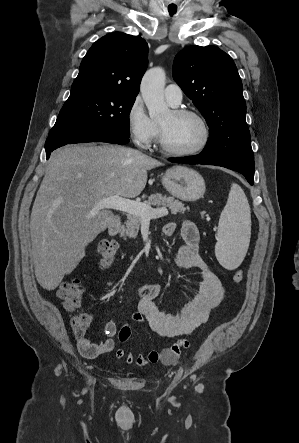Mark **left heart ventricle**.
<instances>
[{"mask_svg": "<svg viewBox=\"0 0 299 443\" xmlns=\"http://www.w3.org/2000/svg\"><path fill=\"white\" fill-rule=\"evenodd\" d=\"M165 144L175 150H189L196 147L202 137V126L190 116H176L171 112L160 119Z\"/></svg>", "mask_w": 299, "mask_h": 443, "instance_id": "obj_1", "label": "left heart ventricle"}]
</instances>
